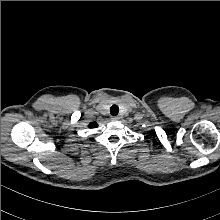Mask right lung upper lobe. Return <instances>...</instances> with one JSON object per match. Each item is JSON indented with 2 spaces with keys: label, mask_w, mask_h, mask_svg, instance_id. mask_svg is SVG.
I'll list each match as a JSON object with an SVG mask.
<instances>
[{
  "label": "right lung upper lobe",
  "mask_w": 220,
  "mask_h": 220,
  "mask_svg": "<svg viewBox=\"0 0 220 220\" xmlns=\"http://www.w3.org/2000/svg\"><path fill=\"white\" fill-rule=\"evenodd\" d=\"M97 126H98V124L95 123V122H92V123L89 124V127H90V128H95V127H97Z\"/></svg>",
  "instance_id": "1"
}]
</instances>
